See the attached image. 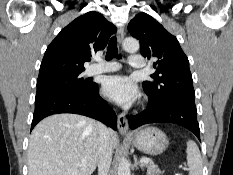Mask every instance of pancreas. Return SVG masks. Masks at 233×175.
<instances>
[{
    "instance_id": "obj_1",
    "label": "pancreas",
    "mask_w": 233,
    "mask_h": 175,
    "mask_svg": "<svg viewBox=\"0 0 233 175\" xmlns=\"http://www.w3.org/2000/svg\"><path fill=\"white\" fill-rule=\"evenodd\" d=\"M144 166L147 169L148 175H160L163 172L153 162L145 163Z\"/></svg>"
}]
</instances>
